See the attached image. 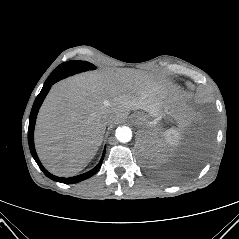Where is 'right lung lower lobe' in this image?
Wrapping results in <instances>:
<instances>
[{"label": "right lung lower lobe", "mask_w": 239, "mask_h": 239, "mask_svg": "<svg viewBox=\"0 0 239 239\" xmlns=\"http://www.w3.org/2000/svg\"><path fill=\"white\" fill-rule=\"evenodd\" d=\"M50 88H51V84L43 86V88H42L41 92L39 93V95L37 96V98L33 104L32 110H31V114H30V118H29V128H28V142H29L30 151H31V154H32L33 158L35 159L36 163L38 164L39 168L43 171V173L47 177H49L50 179H52L54 181L61 182V183H69V184L78 183L87 178H90L95 173H97V171L101 167L106 148H104L101 160L98 163V165L95 168H93L92 170H90L84 174L78 175V176H74V177H70V178L57 177V176H54L51 173H49L42 166L41 162L39 161V159L37 157V154H36L35 148H34V126H35V121H36V117L38 114V110H39L44 98L46 97L47 93L49 92Z\"/></svg>", "instance_id": "obj_1"}]
</instances>
